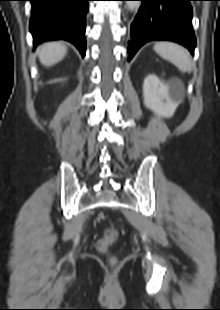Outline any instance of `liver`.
<instances>
[{"label":"liver","mask_w":220,"mask_h":310,"mask_svg":"<svg viewBox=\"0 0 220 310\" xmlns=\"http://www.w3.org/2000/svg\"><path fill=\"white\" fill-rule=\"evenodd\" d=\"M40 62L46 66H52L61 61L66 53L67 48L60 42H48L37 49Z\"/></svg>","instance_id":"6515ba94"}]
</instances>
